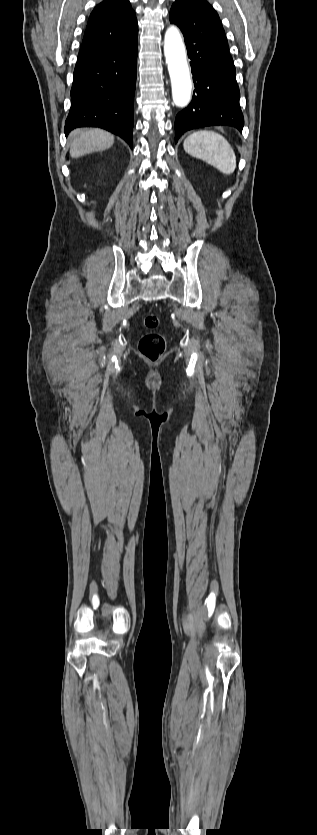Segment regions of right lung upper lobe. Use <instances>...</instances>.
I'll use <instances>...</instances> for the list:
<instances>
[{
  "label": "right lung upper lobe",
  "mask_w": 317,
  "mask_h": 835,
  "mask_svg": "<svg viewBox=\"0 0 317 835\" xmlns=\"http://www.w3.org/2000/svg\"><path fill=\"white\" fill-rule=\"evenodd\" d=\"M137 34V20L129 0H104L90 15L82 44L117 45Z\"/></svg>",
  "instance_id": "cb5924a9"
}]
</instances>
